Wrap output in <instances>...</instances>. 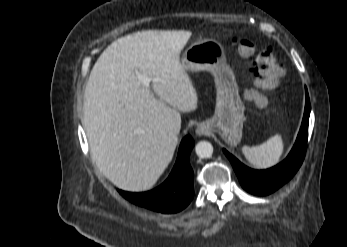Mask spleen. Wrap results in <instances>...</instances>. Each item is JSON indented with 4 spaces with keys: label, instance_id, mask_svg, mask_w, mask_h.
Instances as JSON below:
<instances>
[{
    "label": "spleen",
    "instance_id": "3e777b00",
    "mask_svg": "<svg viewBox=\"0 0 347 247\" xmlns=\"http://www.w3.org/2000/svg\"><path fill=\"white\" fill-rule=\"evenodd\" d=\"M284 151L282 135L270 137L258 146H245L243 153L248 162L256 169H266L276 165Z\"/></svg>",
    "mask_w": 347,
    "mask_h": 247
}]
</instances>
